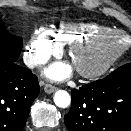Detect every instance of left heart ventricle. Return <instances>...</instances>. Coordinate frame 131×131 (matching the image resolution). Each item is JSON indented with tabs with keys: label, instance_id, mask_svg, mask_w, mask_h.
Here are the masks:
<instances>
[{
	"label": "left heart ventricle",
	"instance_id": "b2bd125f",
	"mask_svg": "<svg viewBox=\"0 0 131 131\" xmlns=\"http://www.w3.org/2000/svg\"><path fill=\"white\" fill-rule=\"evenodd\" d=\"M125 42L126 40L123 37L107 39L92 50L77 53L74 58V65L85 69L92 68L106 60L112 53L121 48Z\"/></svg>",
	"mask_w": 131,
	"mask_h": 131
}]
</instances>
